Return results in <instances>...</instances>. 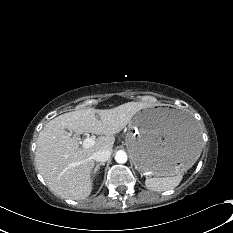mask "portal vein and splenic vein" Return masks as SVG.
<instances>
[{"label":"portal vein and splenic vein","instance_id":"18ae733b","mask_svg":"<svg viewBox=\"0 0 233 233\" xmlns=\"http://www.w3.org/2000/svg\"><path fill=\"white\" fill-rule=\"evenodd\" d=\"M69 136H71L70 134H68ZM95 144V139L93 137H87L82 144V147L85 149H88L90 147H92Z\"/></svg>","mask_w":233,"mask_h":233}]
</instances>
